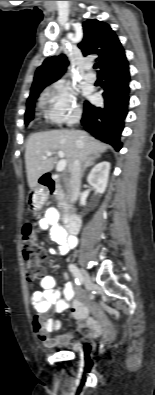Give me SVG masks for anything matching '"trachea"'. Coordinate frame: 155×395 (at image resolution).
<instances>
[{
  "instance_id": "obj_1",
  "label": "trachea",
  "mask_w": 155,
  "mask_h": 395,
  "mask_svg": "<svg viewBox=\"0 0 155 395\" xmlns=\"http://www.w3.org/2000/svg\"><path fill=\"white\" fill-rule=\"evenodd\" d=\"M94 68H95V69H97V68H98V64H97V63L94 65Z\"/></svg>"
}]
</instances>
